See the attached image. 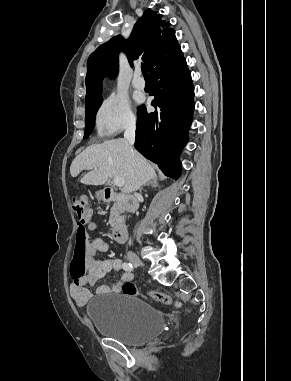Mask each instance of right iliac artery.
Wrapping results in <instances>:
<instances>
[{
    "label": "right iliac artery",
    "mask_w": 291,
    "mask_h": 381,
    "mask_svg": "<svg viewBox=\"0 0 291 381\" xmlns=\"http://www.w3.org/2000/svg\"><path fill=\"white\" fill-rule=\"evenodd\" d=\"M122 268L125 270V271H132L133 270V265L131 263H128V262H124L122 264Z\"/></svg>",
    "instance_id": "82829eb1"
}]
</instances>
